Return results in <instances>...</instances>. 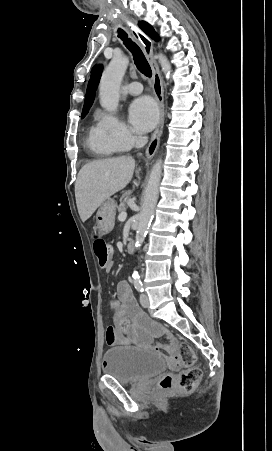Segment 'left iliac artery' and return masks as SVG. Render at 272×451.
I'll return each instance as SVG.
<instances>
[{
  "label": "left iliac artery",
  "mask_w": 272,
  "mask_h": 451,
  "mask_svg": "<svg viewBox=\"0 0 272 451\" xmlns=\"http://www.w3.org/2000/svg\"><path fill=\"white\" fill-rule=\"evenodd\" d=\"M134 286H135V288H136V290L138 292H143L144 291L143 284H142L141 280H135L134 281Z\"/></svg>",
  "instance_id": "left-iliac-artery-1"
}]
</instances>
